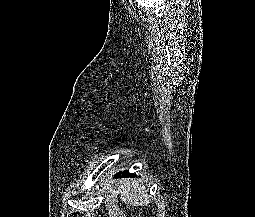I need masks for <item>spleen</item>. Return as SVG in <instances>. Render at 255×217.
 <instances>
[{"label": "spleen", "mask_w": 255, "mask_h": 217, "mask_svg": "<svg viewBox=\"0 0 255 217\" xmlns=\"http://www.w3.org/2000/svg\"><path fill=\"white\" fill-rule=\"evenodd\" d=\"M121 200L132 206H148L151 199L148 189L135 179H127L118 188Z\"/></svg>", "instance_id": "obj_1"}]
</instances>
